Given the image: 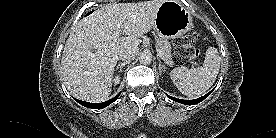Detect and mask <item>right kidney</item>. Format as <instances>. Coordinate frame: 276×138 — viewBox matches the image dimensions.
<instances>
[{
  "label": "right kidney",
  "instance_id": "obj_1",
  "mask_svg": "<svg viewBox=\"0 0 276 138\" xmlns=\"http://www.w3.org/2000/svg\"><path fill=\"white\" fill-rule=\"evenodd\" d=\"M119 82H120V77H119V76H116V77L114 78V85L116 86L117 84H119Z\"/></svg>",
  "mask_w": 276,
  "mask_h": 138
}]
</instances>
